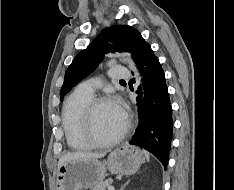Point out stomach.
Segmentation results:
<instances>
[{"instance_id": "0dacf381", "label": "stomach", "mask_w": 234, "mask_h": 190, "mask_svg": "<svg viewBox=\"0 0 234 190\" xmlns=\"http://www.w3.org/2000/svg\"><path fill=\"white\" fill-rule=\"evenodd\" d=\"M144 161L143 153L128 144L114 149L105 163L97 159H77L63 163L57 172V190H82L103 182L111 174L131 175Z\"/></svg>"}]
</instances>
